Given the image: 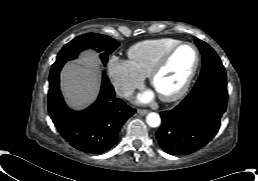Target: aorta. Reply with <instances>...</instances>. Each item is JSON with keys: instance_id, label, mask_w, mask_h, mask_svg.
Segmentation results:
<instances>
[{"instance_id": "1", "label": "aorta", "mask_w": 258, "mask_h": 181, "mask_svg": "<svg viewBox=\"0 0 258 181\" xmlns=\"http://www.w3.org/2000/svg\"><path fill=\"white\" fill-rule=\"evenodd\" d=\"M146 122L150 127H158L161 124V118L159 116V114L155 113V112H150L147 116H146Z\"/></svg>"}]
</instances>
